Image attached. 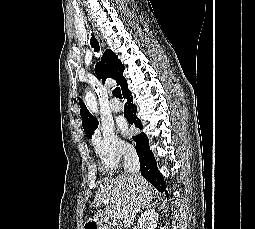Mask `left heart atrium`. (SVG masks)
<instances>
[{
    "instance_id": "left-heart-atrium-1",
    "label": "left heart atrium",
    "mask_w": 255,
    "mask_h": 229,
    "mask_svg": "<svg viewBox=\"0 0 255 229\" xmlns=\"http://www.w3.org/2000/svg\"><path fill=\"white\" fill-rule=\"evenodd\" d=\"M121 128H122V130H123L124 132H126V131H127V128H126V126H125V125H122V126H121Z\"/></svg>"
}]
</instances>
